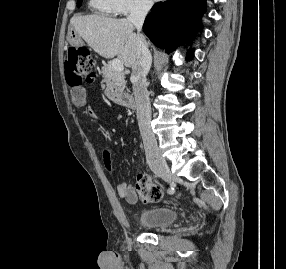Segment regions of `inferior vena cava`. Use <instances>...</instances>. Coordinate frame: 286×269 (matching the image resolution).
<instances>
[{
    "instance_id": "inferior-vena-cava-1",
    "label": "inferior vena cava",
    "mask_w": 286,
    "mask_h": 269,
    "mask_svg": "<svg viewBox=\"0 0 286 269\" xmlns=\"http://www.w3.org/2000/svg\"><path fill=\"white\" fill-rule=\"evenodd\" d=\"M150 8V3L137 2L133 5L129 16L127 17V20L137 29L139 57L132 67L131 82L133 84L139 130L143 139L148 163L162 159L155 135L150 126L151 105L149 93L145 85L146 76L152 63V56L144 36L140 34L145 17Z\"/></svg>"
}]
</instances>
